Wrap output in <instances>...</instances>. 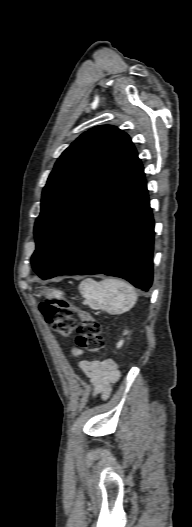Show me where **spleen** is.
I'll list each match as a JSON object with an SVG mask.
<instances>
[{
  "label": "spleen",
  "mask_w": 192,
  "mask_h": 527,
  "mask_svg": "<svg viewBox=\"0 0 192 527\" xmlns=\"http://www.w3.org/2000/svg\"><path fill=\"white\" fill-rule=\"evenodd\" d=\"M80 293L94 309L120 314L129 311L136 303L135 289L128 283L108 278L101 282L84 279L79 285Z\"/></svg>",
  "instance_id": "1"
}]
</instances>
